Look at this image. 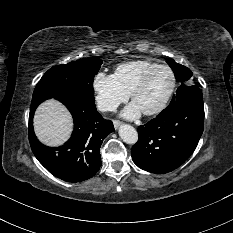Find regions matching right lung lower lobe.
<instances>
[{
  "instance_id": "obj_1",
  "label": "right lung lower lobe",
  "mask_w": 233,
  "mask_h": 233,
  "mask_svg": "<svg viewBox=\"0 0 233 233\" xmlns=\"http://www.w3.org/2000/svg\"><path fill=\"white\" fill-rule=\"evenodd\" d=\"M48 98L32 101L28 135L31 149L39 162L54 176L68 181L81 182L93 177L101 167L100 147L114 131L113 123L104 120L95 103L76 98H59L71 112L74 131L62 146L50 148L38 141L33 130V115L37 106Z\"/></svg>"
}]
</instances>
